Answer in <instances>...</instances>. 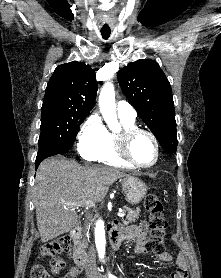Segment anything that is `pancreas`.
<instances>
[{
	"label": "pancreas",
	"instance_id": "pancreas-1",
	"mask_svg": "<svg viewBox=\"0 0 221 278\" xmlns=\"http://www.w3.org/2000/svg\"><path fill=\"white\" fill-rule=\"evenodd\" d=\"M123 210H124V213H127L126 217L122 218V221L125 225L135 222L140 217L139 209L132 210L128 207H124ZM84 232H85V234H90L91 231H90V229H85ZM84 241H85V239H83V241L79 243L80 247H84Z\"/></svg>",
	"mask_w": 221,
	"mask_h": 278
}]
</instances>
